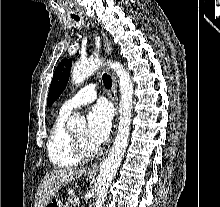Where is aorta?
Here are the masks:
<instances>
[{
	"label": "aorta",
	"instance_id": "aorta-1",
	"mask_svg": "<svg viewBox=\"0 0 220 207\" xmlns=\"http://www.w3.org/2000/svg\"><path fill=\"white\" fill-rule=\"evenodd\" d=\"M108 65L116 73L119 78L120 86V103H119V125L112 148L104 160L96 183V202L95 207H103L108 194L109 187L114 179L118 167L122 162V158L128 146L130 134V124L133 109V83L129 72L119 62L107 61ZM103 65V61L99 58H90L86 61L77 62L71 72L72 82L76 85L82 83L90 77L96 70ZM85 118L79 114H74L67 122L70 129L84 126Z\"/></svg>",
	"mask_w": 220,
	"mask_h": 207
}]
</instances>
